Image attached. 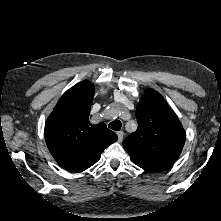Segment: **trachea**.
I'll return each instance as SVG.
<instances>
[{
    "instance_id": "3493384b",
    "label": "trachea",
    "mask_w": 221,
    "mask_h": 221,
    "mask_svg": "<svg viewBox=\"0 0 221 221\" xmlns=\"http://www.w3.org/2000/svg\"><path fill=\"white\" fill-rule=\"evenodd\" d=\"M121 122L119 120L112 121L108 127L112 130L119 131L121 129Z\"/></svg>"
}]
</instances>
